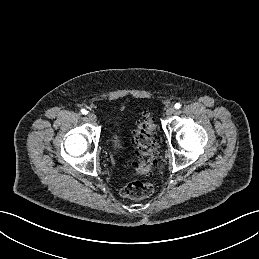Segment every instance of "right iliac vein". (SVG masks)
Wrapping results in <instances>:
<instances>
[{
	"label": "right iliac vein",
	"instance_id": "63e3f726",
	"mask_svg": "<svg viewBox=\"0 0 259 259\" xmlns=\"http://www.w3.org/2000/svg\"><path fill=\"white\" fill-rule=\"evenodd\" d=\"M88 119L92 122L96 121V115L94 113H88Z\"/></svg>",
	"mask_w": 259,
	"mask_h": 259
}]
</instances>
